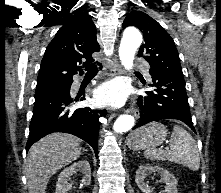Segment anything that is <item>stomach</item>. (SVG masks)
Masks as SVG:
<instances>
[{
    "label": "stomach",
    "mask_w": 221,
    "mask_h": 193,
    "mask_svg": "<svg viewBox=\"0 0 221 193\" xmlns=\"http://www.w3.org/2000/svg\"><path fill=\"white\" fill-rule=\"evenodd\" d=\"M166 137V126L160 122H151L131 132L127 144L133 150L149 149L162 144Z\"/></svg>",
    "instance_id": "0dacf381"
}]
</instances>
